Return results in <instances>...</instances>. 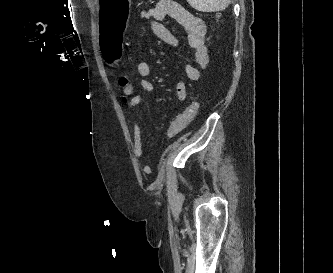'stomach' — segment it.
<instances>
[{"label": "stomach", "mask_w": 333, "mask_h": 273, "mask_svg": "<svg viewBox=\"0 0 333 273\" xmlns=\"http://www.w3.org/2000/svg\"><path fill=\"white\" fill-rule=\"evenodd\" d=\"M129 4L131 0H98L99 38H124V32L132 23ZM99 51L108 65H121L124 59L123 39H100Z\"/></svg>", "instance_id": "obj_1"}]
</instances>
